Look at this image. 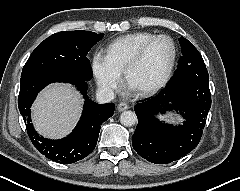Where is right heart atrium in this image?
<instances>
[{
    "label": "right heart atrium",
    "mask_w": 240,
    "mask_h": 191,
    "mask_svg": "<svg viewBox=\"0 0 240 191\" xmlns=\"http://www.w3.org/2000/svg\"><path fill=\"white\" fill-rule=\"evenodd\" d=\"M91 69L98 87L105 93L111 94L119 87L121 72L106 54L96 52L92 57Z\"/></svg>",
    "instance_id": "d8ad5b80"
}]
</instances>
